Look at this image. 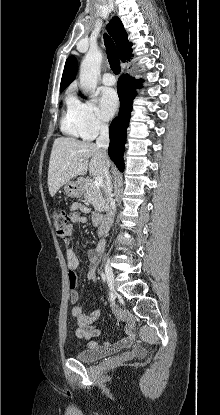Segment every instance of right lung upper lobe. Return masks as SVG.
Returning <instances> with one entry per match:
<instances>
[{"mask_svg":"<svg viewBox=\"0 0 220 415\" xmlns=\"http://www.w3.org/2000/svg\"><path fill=\"white\" fill-rule=\"evenodd\" d=\"M108 31L115 40L117 45L118 54L121 59H130L132 56V44L127 40V33L123 27L121 20L118 17H113L109 22ZM77 73V61L75 57L71 56L66 60L60 91L66 89L71 82L74 81Z\"/></svg>","mask_w":220,"mask_h":415,"instance_id":"obj_1","label":"right lung upper lobe"}]
</instances>
